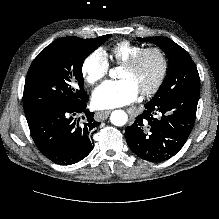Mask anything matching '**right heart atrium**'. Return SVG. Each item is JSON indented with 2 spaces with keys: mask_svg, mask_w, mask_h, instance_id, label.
Here are the masks:
<instances>
[{
  "mask_svg": "<svg viewBox=\"0 0 219 219\" xmlns=\"http://www.w3.org/2000/svg\"><path fill=\"white\" fill-rule=\"evenodd\" d=\"M110 64L105 51L97 49L90 53L83 62L82 74L85 81L94 85L107 76Z\"/></svg>",
  "mask_w": 219,
  "mask_h": 219,
  "instance_id": "right-heart-atrium-1",
  "label": "right heart atrium"
}]
</instances>
